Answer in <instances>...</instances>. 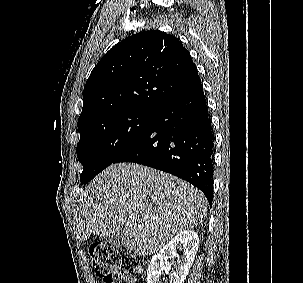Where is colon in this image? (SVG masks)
<instances>
[{
	"label": "colon",
	"instance_id": "1",
	"mask_svg": "<svg viewBox=\"0 0 303 283\" xmlns=\"http://www.w3.org/2000/svg\"><path fill=\"white\" fill-rule=\"evenodd\" d=\"M88 253L96 274L105 283H120L124 278L132 277L136 272V266L132 264L128 256L103 242L91 241L88 245Z\"/></svg>",
	"mask_w": 303,
	"mask_h": 283
}]
</instances>
